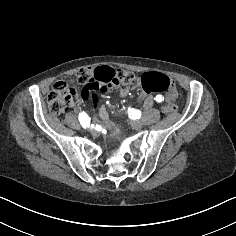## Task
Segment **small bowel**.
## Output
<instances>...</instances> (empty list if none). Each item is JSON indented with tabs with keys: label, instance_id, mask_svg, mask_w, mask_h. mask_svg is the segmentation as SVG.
<instances>
[{
	"label": "small bowel",
	"instance_id": "c3829d8e",
	"mask_svg": "<svg viewBox=\"0 0 236 236\" xmlns=\"http://www.w3.org/2000/svg\"><path fill=\"white\" fill-rule=\"evenodd\" d=\"M128 93H129L128 87H123L120 90V95L123 97L126 96ZM154 102H155V99L152 96L146 97L145 101H144L146 107H150ZM100 116H101L102 122L106 128H113L114 127V124L110 120L109 113H108L105 106H102L100 108Z\"/></svg>",
	"mask_w": 236,
	"mask_h": 236
}]
</instances>
